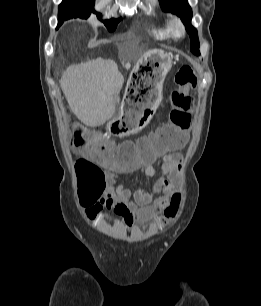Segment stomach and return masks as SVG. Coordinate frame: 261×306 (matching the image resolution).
I'll return each instance as SVG.
<instances>
[{"label": "stomach", "instance_id": "0dacf381", "mask_svg": "<svg viewBox=\"0 0 261 306\" xmlns=\"http://www.w3.org/2000/svg\"><path fill=\"white\" fill-rule=\"evenodd\" d=\"M173 64V55L160 49L141 57L139 66H146L147 74L138 83L129 84L117 117L126 134L136 133L149 123L162 100L164 80Z\"/></svg>", "mask_w": 261, "mask_h": 306}]
</instances>
